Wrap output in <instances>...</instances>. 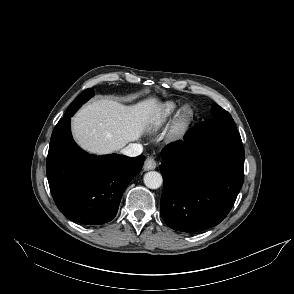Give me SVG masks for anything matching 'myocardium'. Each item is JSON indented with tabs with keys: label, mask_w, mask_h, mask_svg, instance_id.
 Masks as SVG:
<instances>
[{
	"label": "myocardium",
	"mask_w": 294,
	"mask_h": 294,
	"mask_svg": "<svg viewBox=\"0 0 294 294\" xmlns=\"http://www.w3.org/2000/svg\"><path fill=\"white\" fill-rule=\"evenodd\" d=\"M193 119V111L190 107L185 106L178 113L177 118L170 130L169 138L174 140L181 137Z\"/></svg>",
	"instance_id": "f54148a6"
}]
</instances>
